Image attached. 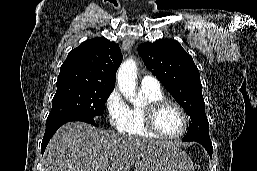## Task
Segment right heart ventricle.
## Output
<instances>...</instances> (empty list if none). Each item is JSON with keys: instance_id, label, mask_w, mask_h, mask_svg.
Masks as SVG:
<instances>
[{"instance_id": "1", "label": "right heart ventricle", "mask_w": 257, "mask_h": 171, "mask_svg": "<svg viewBox=\"0 0 257 171\" xmlns=\"http://www.w3.org/2000/svg\"><path fill=\"white\" fill-rule=\"evenodd\" d=\"M140 95L143 99V104L141 106L128 107L126 122L120 131L132 136L156 137L145 126L144 108L146 104L164 98L163 92L160 88L151 89L141 86Z\"/></svg>"}]
</instances>
